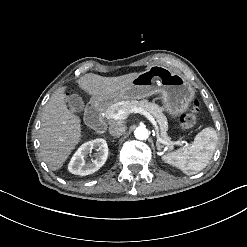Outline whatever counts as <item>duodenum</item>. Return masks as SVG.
Instances as JSON below:
<instances>
[{"instance_id":"obj_1","label":"duodenum","mask_w":247,"mask_h":247,"mask_svg":"<svg viewBox=\"0 0 247 247\" xmlns=\"http://www.w3.org/2000/svg\"><path fill=\"white\" fill-rule=\"evenodd\" d=\"M86 121L98 133H103L107 129L103 109L96 104L88 105L86 109Z\"/></svg>"}]
</instances>
